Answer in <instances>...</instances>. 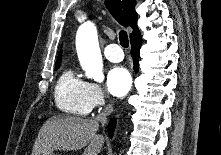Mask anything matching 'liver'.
<instances>
[{
  "label": "liver",
  "instance_id": "liver-1",
  "mask_svg": "<svg viewBox=\"0 0 221 155\" xmlns=\"http://www.w3.org/2000/svg\"><path fill=\"white\" fill-rule=\"evenodd\" d=\"M98 128L95 120L53 116L40 129L32 155H50L55 150L76 151L84 147L83 155H98L104 144V137L97 134Z\"/></svg>",
  "mask_w": 221,
  "mask_h": 155
}]
</instances>
